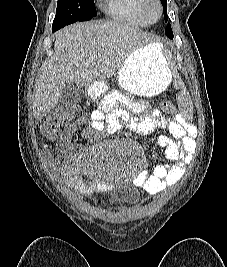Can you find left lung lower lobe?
I'll list each match as a JSON object with an SVG mask.
<instances>
[{"label": "left lung lower lobe", "mask_w": 227, "mask_h": 267, "mask_svg": "<svg viewBox=\"0 0 227 267\" xmlns=\"http://www.w3.org/2000/svg\"><path fill=\"white\" fill-rule=\"evenodd\" d=\"M165 33L169 38H171V39L173 38V32H172L171 27H167L165 30Z\"/></svg>", "instance_id": "0a47b994"}]
</instances>
